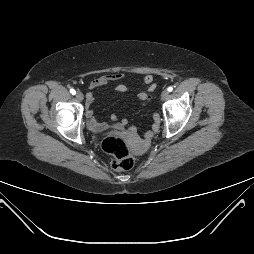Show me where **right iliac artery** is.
Listing matches in <instances>:
<instances>
[{"label": "right iliac artery", "mask_w": 254, "mask_h": 254, "mask_svg": "<svg viewBox=\"0 0 254 254\" xmlns=\"http://www.w3.org/2000/svg\"><path fill=\"white\" fill-rule=\"evenodd\" d=\"M70 93H71L72 95H75V94H76V91H75L74 89H71V90H70Z\"/></svg>", "instance_id": "right-iliac-artery-1"}]
</instances>
